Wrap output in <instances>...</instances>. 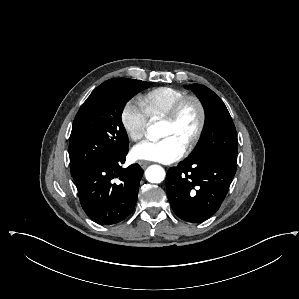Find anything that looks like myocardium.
<instances>
[{
  "label": "myocardium",
  "mask_w": 299,
  "mask_h": 299,
  "mask_svg": "<svg viewBox=\"0 0 299 299\" xmlns=\"http://www.w3.org/2000/svg\"><path fill=\"white\" fill-rule=\"evenodd\" d=\"M188 103H194L199 110V122L194 136L185 146V151L190 152L199 143L206 125V110L203 102L195 95H185L180 98L163 118L167 123H176Z\"/></svg>",
  "instance_id": "1"
}]
</instances>
